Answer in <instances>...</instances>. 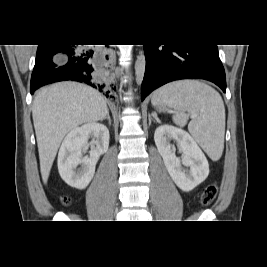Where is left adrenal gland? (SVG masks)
Segmentation results:
<instances>
[{
  "label": "left adrenal gland",
  "instance_id": "obj_1",
  "mask_svg": "<svg viewBox=\"0 0 267 267\" xmlns=\"http://www.w3.org/2000/svg\"><path fill=\"white\" fill-rule=\"evenodd\" d=\"M152 116L154 117V118H152ZM157 118H156V116L155 115H148V120H149V126L151 125V122L152 121H154L155 122V120H156Z\"/></svg>",
  "mask_w": 267,
  "mask_h": 267
}]
</instances>
